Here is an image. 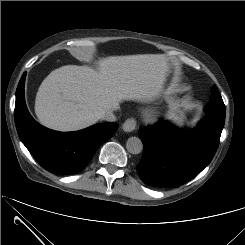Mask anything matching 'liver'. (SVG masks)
<instances>
[{
	"label": "liver",
	"instance_id": "6515ba94",
	"mask_svg": "<svg viewBox=\"0 0 245 245\" xmlns=\"http://www.w3.org/2000/svg\"><path fill=\"white\" fill-rule=\"evenodd\" d=\"M96 65L62 66L43 80L35 99L42 125L76 131L95 124L122 101H152L162 92L169 71L163 54L109 56Z\"/></svg>",
	"mask_w": 245,
	"mask_h": 245
}]
</instances>
